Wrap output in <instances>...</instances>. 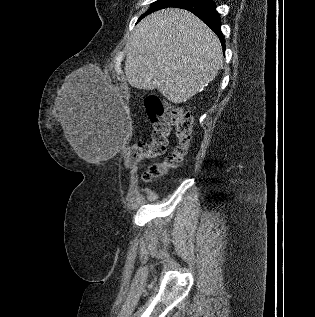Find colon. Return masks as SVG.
<instances>
[{
    "label": "colon",
    "instance_id": "obj_1",
    "mask_svg": "<svg viewBox=\"0 0 315 317\" xmlns=\"http://www.w3.org/2000/svg\"><path fill=\"white\" fill-rule=\"evenodd\" d=\"M147 116L151 123V139L149 142H139L128 146L125 153V162L135 165L141 160L162 155L165 152L167 138L171 128H174L177 145L173 152L161 161L151 163L143 173L146 181L164 176L170 170L177 168L188 153L192 141V117L179 108L165 107L154 96L145 100Z\"/></svg>",
    "mask_w": 315,
    "mask_h": 317
}]
</instances>
